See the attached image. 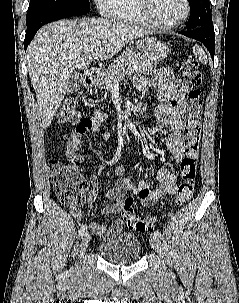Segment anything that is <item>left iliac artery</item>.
<instances>
[{
  "label": "left iliac artery",
  "instance_id": "1",
  "mask_svg": "<svg viewBox=\"0 0 239 303\" xmlns=\"http://www.w3.org/2000/svg\"><path fill=\"white\" fill-rule=\"evenodd\" d=\"M154 237H157V238H162V235H161V233L159 232V231H155L154 232Z\"/></svg>",
  "mask_w": 239,
  "mask_h": 303
}]
</instances>
